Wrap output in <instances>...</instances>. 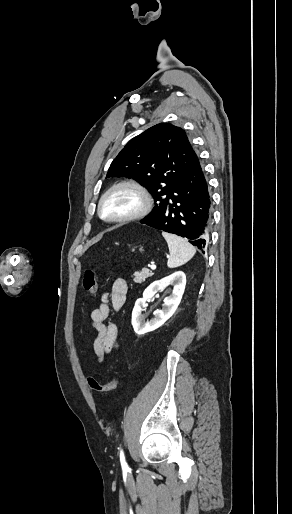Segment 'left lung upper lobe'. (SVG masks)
Returning a JSON list of instances; mask_svg holds the SVG:
<instances>
[{"label":"left lung upper lobe","mask_w":292,"mask_h":514,"mask_svg":"<svg viewBox=\"0 0 292 514\" xmlns=\"http://www.w3.org/2000/svg\"><path fill=\"white\" fill-rule=\"evenodd\" d=\"M193 148L185 131L161 123L131 139L112 161L107 175L135 179L152 194L155 207L145 218L152 219L159 203L172 193L185 175Z\"/></svg>","instance_id":"left-lung-upper-lobe-1"}]
</instances>
